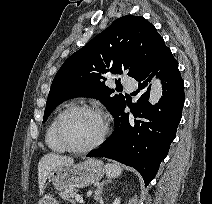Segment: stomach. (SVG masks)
<instances>
[{"mask_svg":"<svg viewBox=\"0 0 212 204\" xmlns=\"http://www.w3.org/2000/svg\"><path fill=\"white\" fill-rule=\"evenodd\" d=\"M105 167L101 160L89 159L82 163H69L53 168L48 174V179L56 189L83 188L99 181L104 173ZM38 204H58L51 195H45Z\"/></svg>","mask_w":212,"mask_h":204,"instance_id":"0dacf381","label":"stomach"}]
</instances>
